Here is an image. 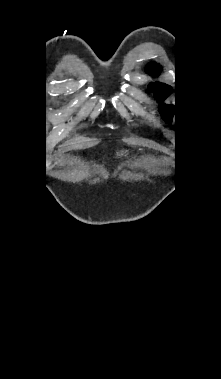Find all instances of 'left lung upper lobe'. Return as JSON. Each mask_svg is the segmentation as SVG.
<instances>
[{"mask_svg": "<svg viewBox=\"0 0 221 379\" xmlns=\"http://www.w3.org/2000/svg\"><path fill=\"white\" fill-rule=\"evenodd\" d=\"M146 71L151 75H156L160 71L159 65L155 63H150L146 67ZM149 91H153L154 97L158 100H163L172 93V89L169 85L163 83H155L149 85ZM159 111L163 119L167 122L172 121L173 116V106L162 104L159 106Z\"/></svg>", "mask_w": 221, "mask_h": 379, "instance_id": "1", "label": "left lung upper lobe"}]
</instances>
